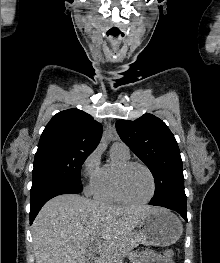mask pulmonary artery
I'll use <instances>...</instances> for the list:
<instances>
[{"label":"pulmonary artery","instance_id":"e3ab8cb5","mask_svg":"<svg viewBox=\"0 0 220 263\" xmlns=\"http://www.w3.org/2000/svg\"><path fill=\"white\" fill-rule=\"evenodd\" d=\"M112 148L121 152L122 154L129 155V148L122 141H117L113 143Z\"/></svg>","mask_w":220,"mask_h":263}]
</instances>
